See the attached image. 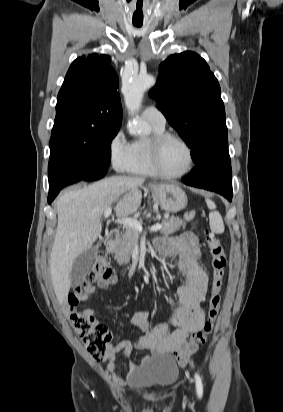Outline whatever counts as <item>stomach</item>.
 Masks as SVG:
<instances>
[{"instance_id": "1", "label": "stomach", "mask_w": 283, "mask_h": 412, "mask_svg": "<svg viewBox=\"0 0 283 412\" xmlns=\"http://www.w3.org/2000/svg\"><path fill=\"white\" fill-rule=\"evenodd\" d=\"M153 197L159 202L161 209L169 213H177L187 205V196L178 186L172 184H155L151 186Z\"/></svg>"}]
</instances>
